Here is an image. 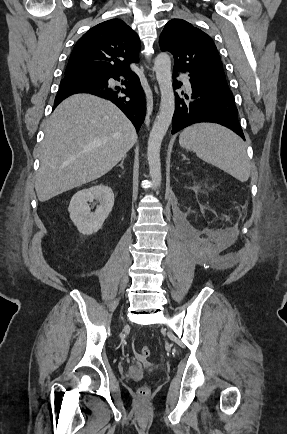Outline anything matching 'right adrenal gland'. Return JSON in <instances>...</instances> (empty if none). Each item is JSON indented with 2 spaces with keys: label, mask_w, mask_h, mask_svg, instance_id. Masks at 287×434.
Listing matches in <instances>:
<instances>
[{
  "label": "right adrenal gland",
  "mask_w": 287,
  "mask_h": 434,
  "mask_svg": "<svg viewBox=\"0 0 287 434\" xmlns=\"http://www.w3.org/2000/svg\"><path fill=\"white\" fill-rule=\"evenodd\" d=\"M124 159H125V158H123L122 161H121V163L119 164V166H120L122 169H124V166H123Z\"/></svg>",
  "instance_id": "2a0ac1e0"
}]
</instances>
